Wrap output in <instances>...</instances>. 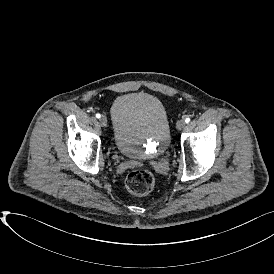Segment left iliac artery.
Returning a JSON list of instances; mask_svg holds the SVG:
<instances>
[{
	"mask_svg": "<svg viewBox=\"0 0 274 274\" xmlns=\"http://www.w3.org/2000/svg\"><path fill=\"white\" fill-rule=\"evenodd\" d=\"M185 122H186V123H189V122H190V118H186V119H185Z\"/></svg>",
	"mask_w": 274,
	"mask_h": 274,
	"instance_id": "1",
	"label": "left iliac artery"
}]
</instances>
